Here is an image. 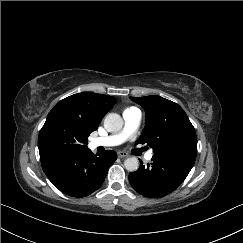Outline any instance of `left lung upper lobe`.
<instances>
[{"label": "left lung upper lobe", "mask_w": 243, "mask_h": 243, "mask_svg": "<svg viewBox=\"0 0 243 243\" xmlns=\"http://www.w3.org/2000/svg\"><path fill=\"white\" fill-rule=\"evenodd\" d=\"M130 99L146 113V125L136 144H146L154 153L173 147L197 146L195 129L178 104L160 96Z\"/></svg>", "instance_id": "left-lung-upper-lobe-1"}]
</instances>
